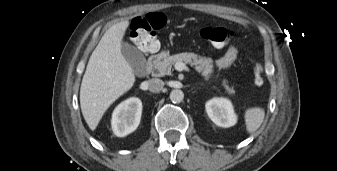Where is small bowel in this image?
<instances>
[{
	"label": "small bowel",
	"mask_w": 337,
	"mask_h": 171,
	"mask_svg": "<svg viewBox=\"0 0 337 171\" xmlns=\"http://www.w3.org/2000/svg\"><path fill=\"white\" fill-rule=\"evenodd\" d=\"M237 57H238V50L236 47L232 46L228 49V51L225 53L223 57H221L215 62V65L217 68L222 70L228 69L236 61Z\"/></svg>",
	"instance_id": "c3829d8e"
}]
</instances>
